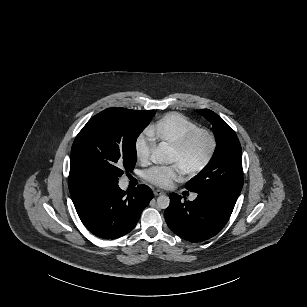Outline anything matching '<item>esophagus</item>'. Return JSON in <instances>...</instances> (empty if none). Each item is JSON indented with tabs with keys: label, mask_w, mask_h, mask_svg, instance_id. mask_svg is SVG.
<instances>
[{
	"label": "esophagus",
	"mask_w": 307,
	"mask_h": 307,
	"mask_svg": "<svg viewBox=\"0 0 307 307\" xmlns=\"http://www.w3.org/2000/svg\"><path fill=\"white\" fill-rule=\"evenodd\" d=\"M162 194H164V192L162 190L157 189V190L154 191L155 196H159V195H162Z\"/></svg>",
	"instance_id": "obj_1"
}]
</instances>
